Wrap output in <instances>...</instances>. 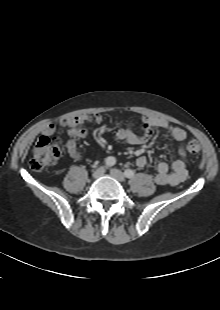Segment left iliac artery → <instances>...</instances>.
<instances>
[{
    "mask_svg": "<svg viewBox=\"0 0 220 310\" xmlns=\"http://www.w3.org/2000/svg\"><path fill=\"white\" fill-rule=\"evenodd\" d=\"M124 174L127 178H132L134 176L135 172L131 169H127V170H125Z\"/></svg>",
    "mask_w": 220,
    "mask_h": 310,
    "instance_id": "1",
    "label": "left iliac artery"
}]
</instances>
